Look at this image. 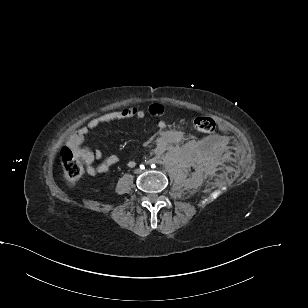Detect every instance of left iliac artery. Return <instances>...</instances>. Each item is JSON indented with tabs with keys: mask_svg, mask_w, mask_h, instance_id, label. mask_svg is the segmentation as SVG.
Masks as SVG:
<instances>
[{
	"mask_svg": "<svg viewBox=\"0 0 308 308\" xmlns=\"http://www.w3.org/2000/svg\"><path fill=\"white\" fill-rule=\"evenodd\" d=\"M151 167H152V168H154V167H155V165H152Z\"/></svg>",
	"mask_w": 308,
	"mask_h": 308,
	"instance_id": "obj_1",
	"label": "left iliac artery"
}]
</instances>
